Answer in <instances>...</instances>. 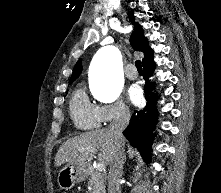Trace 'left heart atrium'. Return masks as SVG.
Masks as SVG:
<instances>
[{"instance_id":"obj_1","label":"left heart atrium","mask_w":221,"mask_h":193,"mask_svg":"<svg viewBox=\"0 0 221 193\" xmlns=\"http://www.w3.org/2000/svg\"><path fill=\"white\" fill-rule=\"evenodd\" d=\"M128 97L132 103L139 104L142 98L140 88L136 85L131 86L128 91Z\"/></svg>"}]
</instances>
